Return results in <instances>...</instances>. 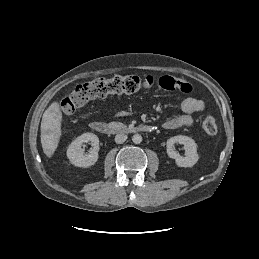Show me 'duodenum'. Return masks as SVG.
<instances>
[{
    "label": "duodenum",
    "mask_w": 259,
    "mask_h": 259,
    "mask_svg": "<svg viewBox=\"0 0 259 259\" xmlns=\"http://www.w3.org/2000/svg\"><path fill=\"white\" fill-rule=\"evenodd\" d=\"M91 128L101 134H114V133H149L153 131L150 125H137V126H122L118 124H107L105 122L95 121L91 123Z\"/></svg>",
    "instance_id": "obj_1"
}]
</instances>
